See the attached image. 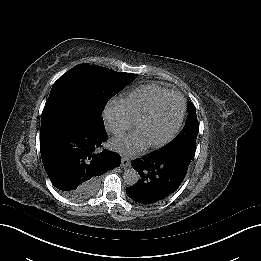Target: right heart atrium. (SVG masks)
<instances>
[{"instance_id":"obj_1","label":"right heart atrium","mask_w":261,"mask_h":261,"mask_svg":"<svg viewBox=\"0 0 261 261\" xmlns=\"http://www.w3.org/2000/svg\"><path fill=\"white\" fill-rule=\"evenodd\" d=\"M101 118L109 130L115 134H121L126 129V123L120 114L115 102H109L102 110Z\"/></svg>"}]
</instances>
